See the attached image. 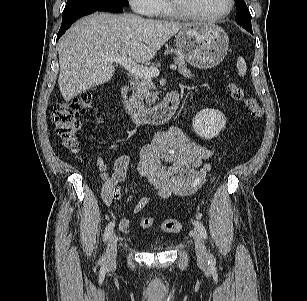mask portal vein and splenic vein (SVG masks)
Listing matches in <instances>:
<instances>
[{"label":"portal vein and splenic vein","instance_id":"1","mask_svg":"<svg viewBox=\"0 0 307 301\" xmlns=\"http://www.w3.org/2000/svg\"><path fill=\"white\" fill-rule=\"evenodd\" d=\"M105 60L120 64L128 72L137 77L152 78V77H157L160 74V71L157 67H144L142 65H139L138 63H136L126 55L121 57L105 58ZM170 69L176 70L177 66L171 64Z\"/></svg>","mask_w":307,"mask_h":301}]
</instances>
